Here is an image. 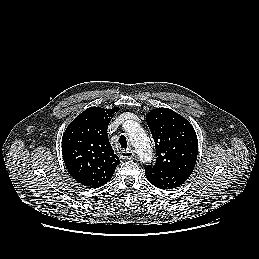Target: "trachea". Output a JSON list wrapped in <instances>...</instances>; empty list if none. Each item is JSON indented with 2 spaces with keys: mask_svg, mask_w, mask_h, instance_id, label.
<instances>
[{
  "mask_svg": "<svg viewBox=\"0 0 259 259\" xmlns=\"http://www.w3.org/2000/svg\"><path fill=\"white\" fill-rule=\"evenodd\" d=\"M118 143L121 148H123V149L127 148V139L124 135L120 136Z\"/></svg>",
  "mask_w": 259,
  "mask_h": 259,
  "instance_id": "trachea-1",
  "label": "trachea"
}]
</instances>
